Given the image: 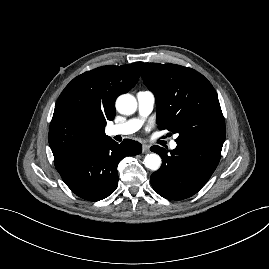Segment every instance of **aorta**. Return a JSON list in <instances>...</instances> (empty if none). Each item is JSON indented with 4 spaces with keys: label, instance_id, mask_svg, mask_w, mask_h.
<instances>
[{
    "label": "aorta",
    "instance_id": "aorta-1",
    "mask_svg": "<svg viewBox=\"0 0 269 269\" xmlns=\"http://www.w3.org/2000/svg\"><path fill=\"white\" fill-rule=\"evenodd\" d=\"M116 109L123 115H131L137 109V101L135 97L130 94L120 95L116 100ZM161 163L162 160L156 153L147 154L144 158L145 167L152 171H157Z\"/></svg>",
    "mask_w": 269,
    "mask_h": 269
}]
</instances>
